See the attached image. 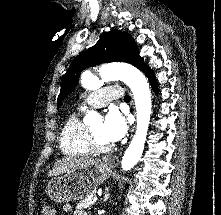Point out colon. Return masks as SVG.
I'll use <instances>...</instances> for the list:
<instances>
[{"label":"colon","mask_w":221,"mask_h":215,"mask_svg":"<svg viewBox=\"0 0 221 215\" xmlns=\"http://www.w3.org/2000/svg\"><path fill=\"white\" fill-rule=\"evenodd\" d=\"M42 215H56V209L52 205H44L41 211Z\"/></svg>","instance_id":"1"}]
</instances>
